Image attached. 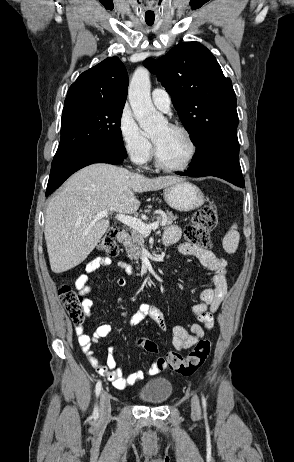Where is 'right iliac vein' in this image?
Instances as JSON below:
<instances>
[{
    "label": "right iliac vein",
    "mask_w": 294,
    "mask_h": 462,
    "mask_svg": "<svg viewBox=\"0 0 294 462\" xmlns=\"http://www.w3.org/2000/svg\"><path fill=\"white\" fill-rule=\"evenodd\" d=\"M111 415V404L109 393L105 390L101 392L100 396V413L99 420L100 422H105L110 418Z\"/></svg>",
    "instance_id": "63e3f726"
}]
</instances>
